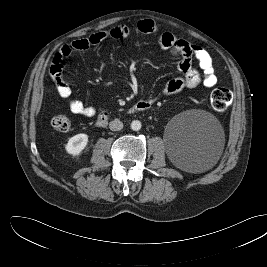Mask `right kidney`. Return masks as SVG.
I'll list each match as a JSON object with an SVG mask.
<instances>
[{
  "instance_id": "right-kidney-1",
  "label": "right kidney",
  "mask_w": 267,
  "mask_h": 267,
  "mask_svg": "<svg viewBox=\"0 0 267 267\" xmlns=\"http://www.w3.org/2000/svg\"><path fill=\"white\" fill-rule=\"evenodd\" d=\"M88 143L87 134L80 133L71 137L65 146L67 153L79 155Z\"/></svg>"
}]
</instances>
